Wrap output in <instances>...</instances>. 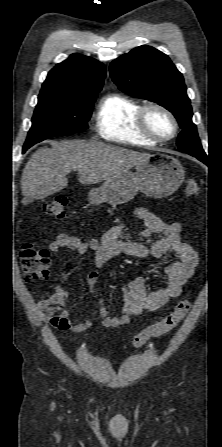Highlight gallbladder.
Instances as JSON below:
<instances>
[{"label":"gallbladder","mask_w":222,"mask_h":447,"mask_svg":"<svg viewBox=\"0 0 222 447\" xmlns=\"http://www.w3.org/2000/svg\"><path fill=\"white\" fill-rule=\"evenodd\" d=\"M31 202H33V200H29V201L27 202V204H28V203H31Z\"/></svg>","instance_id":"gallbladder-1"}]
</instances>
